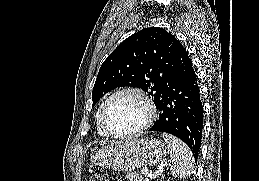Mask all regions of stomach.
Returning <instances> with one entry per match:
<instances>
[{"instance_id":"1","label":"stomach","mask_w":259,"mask_h":181,"mask_svg":"<svg viewBox=\"0 0 259 181\" xmlns=\"http://www.w3.org/2000/svg\"><path fill=\"white\" fill-rule=\"evenodd\" d=\"M166 155L164 144L156 139H135L103 147L91 157V162L115 171L131 172L157 165Z\"/></svg>"}]
</instances>
